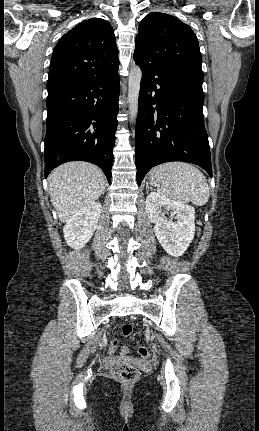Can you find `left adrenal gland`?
Masks as SVG:
<instances>
[{
	"label": "left adrenal gland",
	"instance_id": "obj_1",
	"mask_svg": "<svg viewBox=\"0 0 259 431\" xmlns=\"http://www.w3.org/2000/svg\"><path fill=\"white\" fill-rule=\"evenodd\" d=\"M149 190V184H146V192Z\"/></svg>",
	"mask_w": 259,
	"mask_h": 431
}]
</instances>
